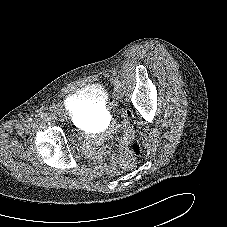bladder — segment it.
Listing matches in <instances>:
<instances>
[{"mask_svg": "<svg viewBox=\"0 0 227 227\" xmlns=\"http://www.w3.org/2000/svg\"><path fill=\"white\" fill-rule=\"evenodd\" d=\"M107 92L99 84L85 86L81 91L73 93L67 105L77 122L83 126L106 117Z\"/></svg>", "mask_w": 227, "mask_h": 227, "instance_id": "31cf9c89", "label": "bladder"}]
</instances>
